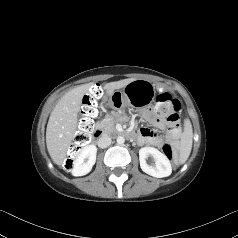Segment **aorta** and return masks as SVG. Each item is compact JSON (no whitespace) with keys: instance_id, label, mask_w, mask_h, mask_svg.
Listing matches in <instances>:
<instances>
[{"instance_id":"aorta-1","label":"aorta","mask_w":238,"mask_h":238,"mask_svg":"<svg viewBox=\"0 0 238 238\" xmlns=\"http://www.w3.org/2000/svg\"><path fill=\"white\" fill-rule=\"evenodd\" d=\"M124 142H125L124 137H122V136H118V137H117V143H118L119 145L124 144Z\"/></svg>"}]
</instances>
